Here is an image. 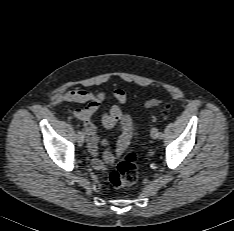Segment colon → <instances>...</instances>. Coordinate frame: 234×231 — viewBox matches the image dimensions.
<instances>
[{"mask_svg":"<svg viewBox=\"0 0 234 231\" xmlns=\"http://www.w3.org/2000/svg\"><path fill=\"white\" fill-rule=\"evenodd\" d=\"M159 104V101L153 100L148 105L154 108L158 107ZM137 157V151L130 150L118 166L109 173L108 179L112 187L120 189L136 182L138 176Z\"/></svg>","mask_w":234,"mask_h":231,"instance_id":"1","label":"colon"}]
</instances>
